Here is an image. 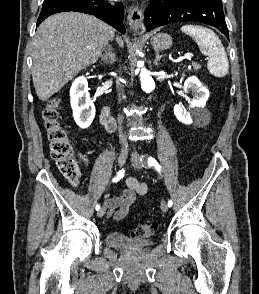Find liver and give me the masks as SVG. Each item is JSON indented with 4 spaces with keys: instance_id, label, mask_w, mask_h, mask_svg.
<instances>
[{
    "instance_id": "1",
    "label": "liver",
    "mask_w": 259,
    "mask_h": 294,
    "mask_svg": "<svg viewBox=\"0 0 259 294\" xmlns=\"http://www.w3.org/2000/svg\"><path fill=\"white\" fill-rule=\"evenodd\" d=\"M114 37L110 25L83 13H58L43 21L32 52V79L39 99L46 101L81 70L96 63ZM117 42L123 47L120 37Z\"/></svg>"
}]
</instances>
